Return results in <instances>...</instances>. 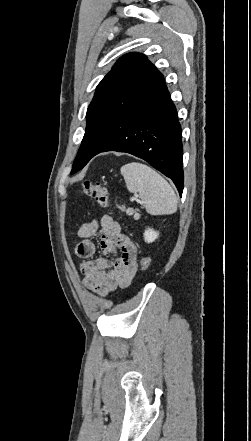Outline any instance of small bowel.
<instances>
[{"instance_id": "c3829d8e", "label": "small bowel", "mask_w": 251, "mask_h": 441, "mask_svg": "<svg viewBox=\"0 0 251 441\" xmlns=\"http://www.w3.org/2000/svg\"><path fill=\"white\" fill-rule=\"evenodd\" d=\"M81 241L76 246V255L83 259L79 270L83 274L84 286L92 292L105 296L117 288L127 287L137 270V247L122 233L121 225L110 215H103L99 221L84 223L77 231ZM99 237L100 249L104 254L120 251V256L111 261L95 258L94 238Z\"/></svg>"}]
</instances>
